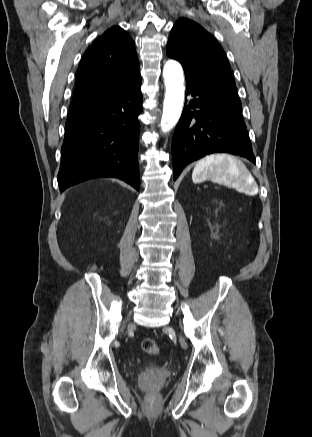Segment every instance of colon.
Masks as SVG:
<instances>
[{
	"label": "colon",
	"instance_id": "colon-1",
	"mask_svg": "<svg viewBox=\"0 0 312 437\" xmlns=\"http://www.w3.org/2000/svg\"><path fill=\"white\" fill-rule=\"evenodd\" d=\"M141 347L145 353L152 356H157L160 353V348L158 343L151 338L144 339L141 343ZM148 398L149 400L154 401L158 399V396L156 394H150Z\"/></svg>",
	"mask_w": 312,
	"mask_h": 437
}]
</instances>
